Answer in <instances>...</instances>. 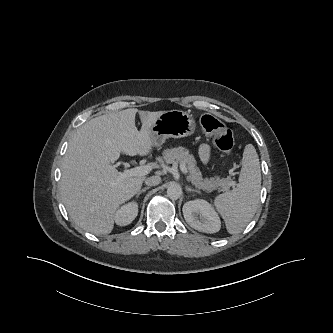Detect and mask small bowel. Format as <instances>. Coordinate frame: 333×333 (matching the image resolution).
Here are the masks:
<instances>
[{
	"mask_svg": "<svg viewBox=\"0 0 333 333\" xmlns=\"http://www.w3.org/2000/svg\"><path fill=\"white\" fill-rule=\"evenodd\" d=\"M210 148L207 144H202L199 148V156L203 163H207L209 160Z\"/></svg>",
	"mask_w": 333,
	"mask_h": 333,
	"instance_id": "obj_1",
	"label": "small bowel"
}]
</instances>
